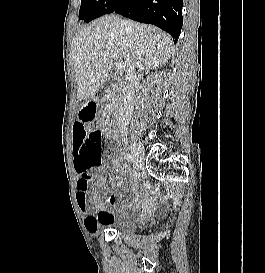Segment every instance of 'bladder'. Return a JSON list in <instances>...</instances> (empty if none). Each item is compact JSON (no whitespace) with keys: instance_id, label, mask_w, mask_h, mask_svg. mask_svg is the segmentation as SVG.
Listing matches in <instances>:
<instances>
[{"instance_id":"1","label":"bladder","mask_w":265,"mask_h":273,"mask_svg":"<svg viewBox=\"0 0 265 273\" xmlns=\"http://www.w3.org/2000/svg\"><path fill=\"white\" fill-rule=\"evenodd\" d=\"M140 224V220L135 216H123L111 222L108 226L119 233L135 232Z\"/></svg>"}]
</instances>
